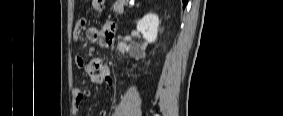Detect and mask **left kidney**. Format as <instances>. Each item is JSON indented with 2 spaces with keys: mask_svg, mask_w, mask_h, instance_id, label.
Here are the masks:
<instances>
[{
  "mask_svg": "<svg viewBox=\"0 0 283 116\" xmlns=\"http://www.w3.org/2000/svg\"><path fill=\"white\" fill-rule=\"evenodd\" d=\"M159 18L154 13H148L137 23V30L142 33L144 39L148 43H153L158 34ZM129 53L135 58H145L146 53L144 47H140L136 52L129 47Z\"/></svg>",
  "mask_w": 283,
  "mask_h": 116,
  "instance_id": "obj_1",
  "label": "left kidney"
}]
</instances>
